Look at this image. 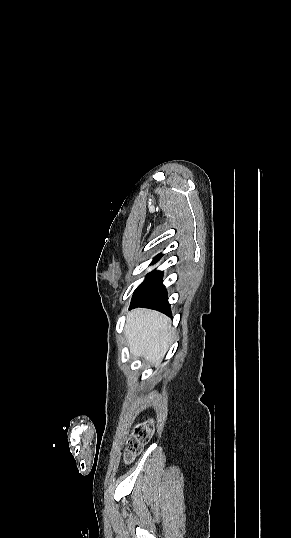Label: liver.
Wrapping results in <instances>:
<instances>
[{"mask_svg":"<svg viewBox=\"0 0 291 538\" xmlns=\"http://www.w3.org/2000/svg\"><path fill=\"white\" fill-rule=\"evenodd\" d=\"M171 320L164 314L148 309H134L128 313L125 334L130 352L157 365L172 341Z\"/></svg>","mask_w":291,"mask_h":538,"instance_id":"liver-1","label":"liver"}]
</instances>
